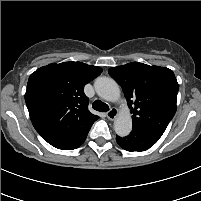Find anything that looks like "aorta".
Returning a JSON list of instances; mask_svg holds the SVG:
<instances>
[{
    "label": "aorta",
    "instance_id": "762f6f07",
    "mask_svg": "<svg viewBox=\"0 0 201 201\" xmlns=\"http://www.w3.org/2000/svg\"><path fill=\"white\" fill-rule=\"evenodd\" d=\"M94 87L97 95L106 101L116 102L120 98V87L112 78L98 77ZM114 130L120 137H125L131 132L132 119L128 108L124 109L114 121Z\"/></svg>",
    "mask_w": 201,
    "mask_h": 201
}]
</instances>
